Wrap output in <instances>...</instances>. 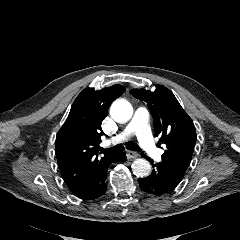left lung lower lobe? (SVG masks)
I'll return each instance as SVG.
<instances>
[{
	"mask_svg": "<svg viewBox=\"0 0 240 240\" xmlns=\"http://www.w3.org/2000/svg\"><path fill=\"white\" fill-rule=\"evenodd\" d=\"M153 167V172L148 177L138 179L142 191L149 195H162L173 191L184 177L163 162Z\"/></svg>",
	"mask_w": 240,
	"mask_h": 240,
	"instance_id": "left-lung-lower-lobe-1",
	"label": "left lung lower lobe"
}]
</instances>
